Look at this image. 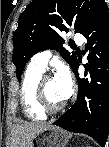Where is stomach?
Instances as JSON below:
<instances>
[{"label": "stomach", "instance_id": "obj_1", "mask_svg": "<svg viewBox=\"0 0 109 147\" xmlns=\"http://www.w3.org/2000/svg\"><path fill=\"white\" fill-rule=\"evenodd\" d=\"M71 137L70 133L52 125L33 138L31 147H66Z\"/></svg>", "mask_w": 109, "mask_h": 147}]
</instances>
